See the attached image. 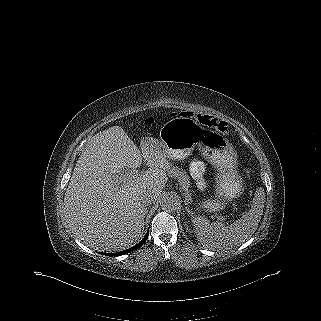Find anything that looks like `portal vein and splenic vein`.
<instances>
[{"label": "portal vein and splenic vein", "mask_w": 321, "mask_h": 321, "mask_svg": "<svg viewBox=\"0 0 321 321\" xmlns=\"http://www.w3.org/2000/svg\"><path fill=\"white\" fill-rule=\"evenodd\" d=\"M133 174H138V170H133Z\"/></svg>", "instance_id": "obj_1"}]
</instances>
